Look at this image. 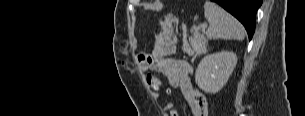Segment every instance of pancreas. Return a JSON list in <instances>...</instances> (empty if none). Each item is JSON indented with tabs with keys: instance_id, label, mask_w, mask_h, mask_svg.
<instances>
[{
	"instance_id": "pancreas-1",
	"label": "pancreas",
	"mask_w": 305,
	"mask_h": 116,
	"mask_svg": "<svg viewBox=\"0 0 305 116\" xmlns=\"http://www.w3.org/2000/svg\"><path fill=\"white\" fill-rule=\"evenodd\" d=\"M189 41L191 47L184 46L183 50L185 53H187L189 56H193L194 54L201 55L205 53L207 39L204 35L194 32L193 35L190 37Z\"/></svg>"
}]
</instances>
